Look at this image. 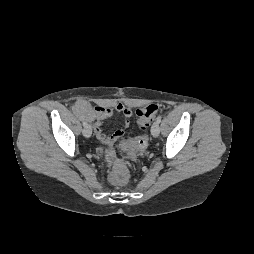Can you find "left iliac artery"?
<instances>
[{
    "label": "left iliac artery",
    "mask_w": 254,
    "mask_h": 254,
    "mask_svg": "<svg viewBox=\"0 0 254 254\" xmlns=\"http://www.w3.org/2000/svg\"><path fill=\"white\" fill-rule=\"evenodd\" d=\"M161 119H162L161 116H158L157 119H156V122H157V123H160V122H161Z\"/></svg>",
    "instance_id": "1"
}]
</instances>
